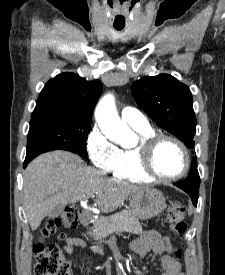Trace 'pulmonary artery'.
<instances>
[{"label":"pulmonary artery","mask_w":225,"mask_h":275,"mask_svg":"<svg viewBox=\"0 0 225 275\" xmlns=\"http://www.w3.org/2000/svg\"><path fill=\"white\" fill-rule=\"evenodd\" d=\"M121 118L131 127L146 128L149 127L147 118L133 107H125L121 111Z\"/></svg>","instance_id":"1"}]
</instances>
